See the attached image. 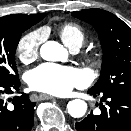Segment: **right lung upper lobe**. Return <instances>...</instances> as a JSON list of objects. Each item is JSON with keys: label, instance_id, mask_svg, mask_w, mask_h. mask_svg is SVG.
<instances>
[{"label": "right lung upper lobe", "instance_id": "1", "mask_svg": "<svg viewBox=\"0 0 131 131\" xmlns=\"http://www.w3.org/2000/svg\"><path fill=\"white\" fill-rule=\"evenodd\" d=\"M46 16L45 13L40 14H13L0 17V23L10 24L13 26H32L41 21Z\"/></svg>", "mask_w": 131, "mask_h": 131}]
</instances>
